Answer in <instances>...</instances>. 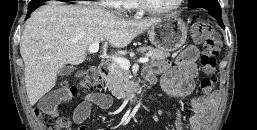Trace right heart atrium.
<instances>
[{
  "label": "right heart atrium",
  "instance_id": "d8ad5b80",
  "mask_svg": "<svg viewBox=\"0 0 257 130\" xmlns=\"http://www.w3.org/2000/svg\"><path fill=\"white\" fill-rule=\"evenodd\" d=\"M100 4L105 7L122 9L125 4V0H100Z\"/></svg>",
  "mask_w": 257,
  "mask_h": 130
}]
</instances>
